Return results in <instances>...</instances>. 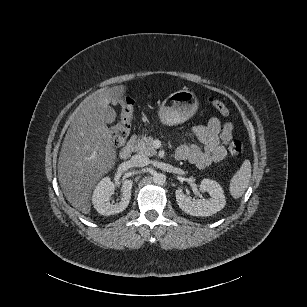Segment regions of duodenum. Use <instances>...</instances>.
I'll return each instance as SVG.
<instances>
[{
	"label": "duodenum",
	"mask_w": 307,
	"mask_h": 307,
	"mask_svg": "<svg viewBox=\"0 0 307 307\" xmlns=\"http://www.w3.org/2000/svg\"><path fill=\"white\" fill-rule=\"evenodd\" d=\"M134 147V140L130 139L127 144L120 150L119 157L122 160L130 158Z\"/></svg>",
	"instance_id": "obj_1"
}]
</instances>
